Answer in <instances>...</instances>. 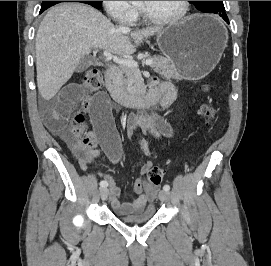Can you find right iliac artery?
<instances>
[{
    "mask_svg": "<svg viewBox=\"0 0 271 266\" xmlns=\"http://www.w3.org/2000/svg\"><path fill=\"white\" fill-rule=\"evenodd\" d=\"M100 186H101L102 188H106V187L108 186L107 181H106V180H102V181L100 182Z\"/></svg>",
    "mask_w": 271,
    "mask_h": 266,
    "instance_id": "right-iliac-artery-1",
    "label": "right iliac artery"
}]
</instances>
